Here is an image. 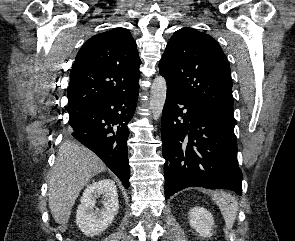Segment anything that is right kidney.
<instances>
[{"mask_svg":"<svg viewBox=\"0 0 295 241\" xmlns=\"http://www.w3.org/2000/svg\"><path fill=\"white\" fill-rule=\"evenodd\" d=\"M101 198L102 208H95ZM76 214V224L87 236L97 235L112 223L118 213L119 201L113 180L102 179L88 185L80 200Z\"/></svg>","mask_w":295,"mask_h":241,"instance_id":"1","label":"right kidney"}]
</instances>
